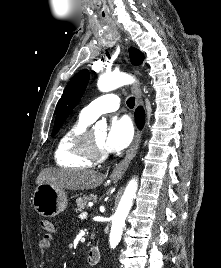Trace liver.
Returning <instances> with one entry per match:
<instances>
[{
    "label": "liver",
    "instance_id": "6515ba94",
    "mask_svg": "<svg viewBox=\"0 0 221 268\" xmlns=\"http://www.w3.org/2000/svg\"><path fill=\"white\" fill-rule=\"evenodd\" d=\"M104 175L94 170H74L65 168L43 169L37 179L36 184H50L57 188H67L70 190H88L101 185Z\"/></svg>",
    "mask_w": 221,
    "mask_h": 268
}]
</instances>
